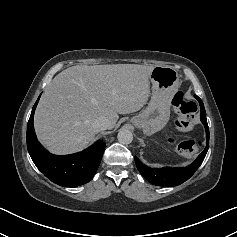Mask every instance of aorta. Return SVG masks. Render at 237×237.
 <instances>
[{
	"label": "aorta",
	"mask_w": 237,
	"mask_h": 237,
	"mask_svg": "<svg viewBox=\"0 0 237 237\" xmlns=\"http://www.w3.org/2000/svg\"><path fill=\"white\" fill-rule=\"evenodd\" d=\"M117 138L121 144L128 145L133 140V134L128 129H120Z\"/></svg>",
	"instance_id": "obj_1"
}]
</instances>
